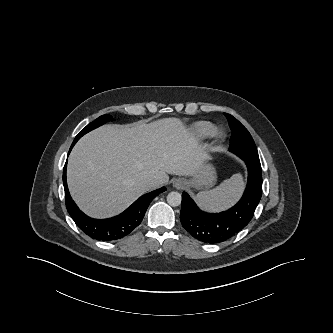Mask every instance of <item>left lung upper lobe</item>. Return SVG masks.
Wrapping results in <instances>:
<instances>
[{
  "mask_svg": "<svg viewBox=\"0 0 333 333\" xmlns=\"http://www.w3.org/2000/svg\"><path fill=\"white\" fill-rule=\"evenodd\" d=\"M232 131L230 151L245 161L260 165L256 145L248 130L232 115L224 113Z\"/></svg>",
  "mask_w": 333,
  "mask_h": 333,
  "instance_id": "1",
  "label": "left lung upper lobe"
}]
</instances>
